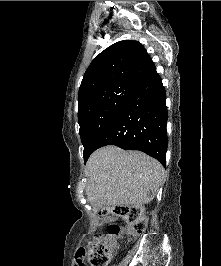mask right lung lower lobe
Masks as SVG:
<instances>
[{"label": "right lung lower lobe", "instance_id": "1", "mask_svg": "<svg viewBox=\"0 0 221 266\" xmlns=\"http://www.w3.org/2000/svg\"><path fill=\"white\" fill-rule=\"evenodd\" d=\"M166 92L156 73L138 86L128 102L103 133L95 148L116 145L125 150H140L166 164Z\"/></svg>", "mask_w": 221, "mask_h": 266}]
</instances>
